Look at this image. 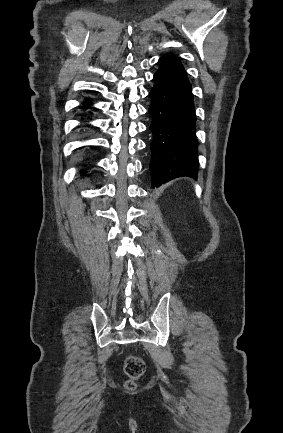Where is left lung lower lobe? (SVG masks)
<instances>
[{
  "label": "left lung lower lobe",
  "mask_w": 283,
  "mask_h": 433,
  "mask_svg": "<svg viewBox=\"0 0 283 433\" xmlns=\"http://www.w3.org/2000/svg\"><path fill=\"white\" fill-rule=\"evenodd\" d=\"M150 91V173L152 186L179 177L197 179V139L191 85L180 60L166 54L159 60Z\"/></svg>",
  "instance_id": "left-lung-lower-lobe-1"
}]
</instances>
